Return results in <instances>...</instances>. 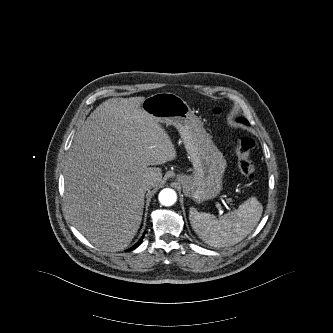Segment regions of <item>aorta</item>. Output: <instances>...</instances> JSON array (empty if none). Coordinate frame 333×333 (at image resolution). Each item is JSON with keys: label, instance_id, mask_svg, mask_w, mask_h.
<instances>
[{"label": "aorta", "instance_id": "762f6f07", "mask_svg": "<svg viewBox=\"0 0 333 333\" xmlns=\"http://www.w3.org/2000/svg\"><path fill=\"white\" fill-rule=\"evenodd\" d=\"M159 201L164 206H171L177 200V194L173 189L165 188L159 193Z\"/></svg>", "mask_w": 333, "mask_h": 333}]
</instances>
